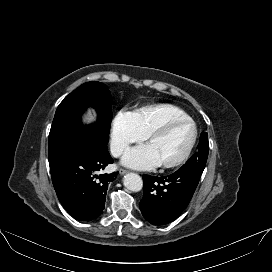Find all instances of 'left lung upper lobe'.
Here are the masks:
<instances>
[{
	"label": "left lung upper lobe",
	"instance_id": "left-lung-upper-lobe-1",
	"mask_svg": "<svg viewBox=\"0 0 272 272\" xmlns=\"http://www.w3.org/2000/svg\"><path fill=\"white\" fill-rule=\"evenodd\" d=\"M208 152H209L208 134L206 132H202L200 135V141L198 144V152L194 154L181 167V169H186V168L204 169L207 158H208Z\"/></svg>",
	"mask_w": 272,
	"mask_h": 272
}]
</instances>
